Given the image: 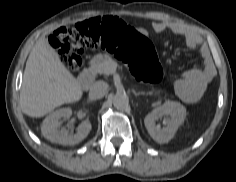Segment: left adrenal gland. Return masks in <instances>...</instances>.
<instances>
[{
	"label": "left adrenal gland",
	"instance_id": "1",
	"mask_svg": "<svg viewBox=\"0 0 236 182\" xmlns=\"http://www.w3.org/2000/svg\"><path fill=\"white\" fill-rule=\"evenodd\" d=\"M133 93L135 96H139V95H148L149 93L146 92H136L135 90H133Z\"/></svg>",
	"mask_w": 236,
	"mask_h": 182
}]
</instances>
